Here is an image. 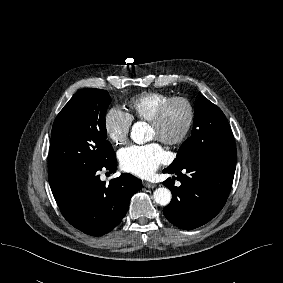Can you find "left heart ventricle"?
<instances>
[{
	"instance_id": "1",
	"label": "left heart ventricle",
	"mask_w": 283,
	"mask_h": 283,
	"mask_svg": "<svg viewBox=\"0 0 283 283\" xmlns=\"http://www.w3.org/2000/svg\"><path fill=\"white\" fill-rule=\"evenodd\" d=\"M186 121V110L181 104L173 105L165 119L162 133H159L152 126L150 127V138L157 139L160 135L174 137L180 133Z\"/></svg>"
}]
</instances>
